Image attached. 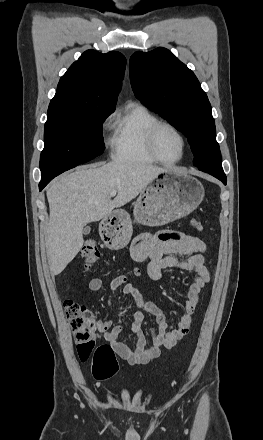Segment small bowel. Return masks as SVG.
Segmentation results:
<instances>
[{
  "mask_svg": "<svg viewBox=\"0 0 263 440\" xmlns=\"http://www.w3.org/2000/svg\"><path fill=\"white\" fill-rule=\"evenodd\" d=\"M206 244L199 238L175 231H160L156 234L142 233L137 236L131 245L133 260L142 262L149 259L147 274L154 281L162 279V271L167 268L188 271L193 273V281L187 292V301L184 312L179 321L172 325L161 308L151 301H146L140 291L132 283L128 282L125 274L113 278L110 282V292L107 298L109 305L112 304L113 295L122 288L126 296H130L138 311L134 314L133 323L129 332L137 337L134 347H129L120 341L123 328L114 325L111 319L98 320V328L103 338L109 342L115 353L133 365H144L160 356L162 349L174 347L189 331L192 317L200 300L201 290L210 280V273L204 265V253ZM183 256L185 259H180ZM103 280L93 277L87 284V291H100ZM151 314L156 325L151 329V344L147 345L146 336L142 330L144 315Z\"/></svg>",
  "mask_w": 263,
  "mask_h": 440,
  "instance_id": "c3829d8e",
  "label": "small bowel"
}]
</instances>
